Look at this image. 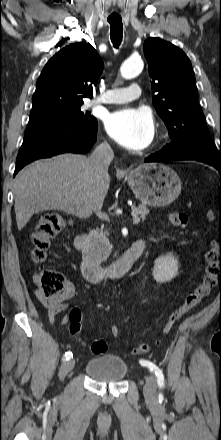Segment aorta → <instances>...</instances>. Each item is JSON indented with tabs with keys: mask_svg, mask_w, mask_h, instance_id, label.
Wrapping results in <instances>:
<instances>
[{
	"mask_svg": "<svg viewBox=\"0 0 221 440\" xmlns=\"http://www.w3.org/2000/svg\"><path fill=\"white\" fill-rule=\"evenodd\" d=\"M143 66L141 58H129L121 67V75L125 79H132L141 73Z\"/></svg>",
	"mask_w": 221,
	"mask_h": 440,
	"instance_id": "obj_1",
	"label": "aorta"
}]
</instances>
